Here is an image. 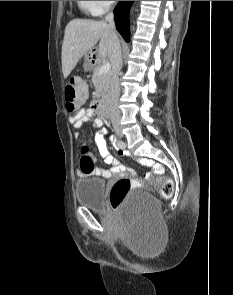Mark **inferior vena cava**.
<instances>
[{"mask_svg": "<svg viewBox=\"0 0 233 295\" xmlns=\"http://www.w3.org/2000/svg\"><path fill=\"white\" fill-rule=\"evenodd\" d=\"M109 27L112 30V36L109 44L108 54L112 64L110 89L106 97V108L112 117H119L118 99L120 96L119 74L122 68L121 46L120 41L115 32L114 15L109 13L105 17Z\"/></svg>", "mask_w": 233, "mask_h": 295, "instance_id": "obj_1", "label": "inferior vena cava"}]
</instances>
